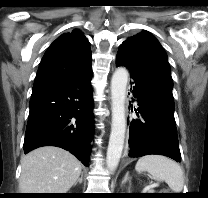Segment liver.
Wrapping results in <instances>:
<instances>
[{"mask_svg": "<svg viewBox=\"0 0 208 198\" xmlns=\"http://www.w3.org/2000/svg\"><path fill=\"white\" fill-rule=\"evenodd\" d=\"M21 193H66L79 179L81 163L68 151L44 146L21 160Z\"/></svg>", "mask_w": 208, "mask_h": 198, "instance_id": "obj_1", "label": "liver"}]
</instances>
